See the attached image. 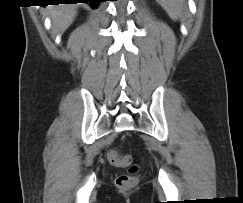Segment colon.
I'll use <instances>...</instances> for the list:
<instances>
[{"label": "colon", "mask_w": 243, "mask_h": 203, "mask_svg": "<svg viewBox=\"0 0 243 203\" xmlns=\"http://www.w3.org/2000/svg\"><path fill=\"white\" fill-rule=\"evenodd\" d=\"M109 157L114 164L120 167H128V173L119 175L116 178V185L123 190H129L133 188L137 183L136 173L138 166L131 164V158L128 155H120L117 151H109Z\"/></svg>", "instance_id": "colon-1"}]
</instances>
